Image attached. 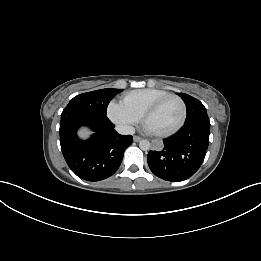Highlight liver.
<instances>
[{
  "instance_id": "obj_1",
  "label": "liver",
  "mask_w": 261,
  "mask_h": 261,
  "mask_svg": "<svg viewBox=\"0 0 261 261\" xmlns=\"http://www.w3.org/2000/svg\"><path fill=\"white\" fill-rule=\"evenodd\" d=\"M91 134L87 129H82L80 132H79V135L83 138H86L88 137V135Z\"/></svg>"
}]
</instances>
